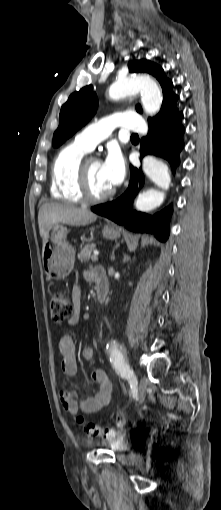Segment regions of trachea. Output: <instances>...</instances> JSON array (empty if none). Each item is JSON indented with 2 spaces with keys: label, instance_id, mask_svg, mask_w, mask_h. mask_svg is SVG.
Returning <instances> with one entry per match:
<instances>
[{
  "label": "trachea",
  "instance_id": "obj_1",
  "mask_svg": "<svg viewBox=\"0 0 221 510\" xmlns=\"http://www.w3.org/2000/svg\"><path fill=\"white\" fill-rule=\"evenodd\" d=\"M132 137H138V135L137 134H132Z\"/></svg>",
  "mask_w": 221,
  "mask_h": 510
}]
</instances>
